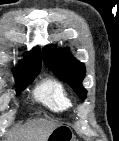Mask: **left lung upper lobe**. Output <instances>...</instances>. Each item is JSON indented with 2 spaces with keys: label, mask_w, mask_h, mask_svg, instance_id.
Returning <instances> with one entry per match:
<instances>
[{
  "label": "left lung upper lobe",
  "mask_w": 119,
  "mask_h": 141,
  "mask_svg": "<svg viewBox=\"0 0 119 141\" xmlns=\"http://www.w3.org/2000/svg\"><path fill=\"white\" fill-rule=\"evenodd\" d=\"M44 63L61 80L68 83L78 96L84 100L87 91L82 86L86 70L84 64L76 60L68 49H58L47 46L43 53Z\"/></svg>",
  "instance_id": "5c2ea615"
}]
</instances>
